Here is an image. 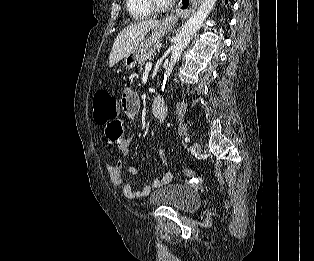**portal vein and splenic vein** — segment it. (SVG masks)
Returning <instances> with one entry per match:
<instances>
[{
  "label": "portal vein and splenic vein",
  "instance_id": "portal-vein-and-splenic-vein-1",
  "mask_svg": "<svg viewBox=\"0 0 314 261\" xmlns=\"http://www.w3.org/2000/svg\"><path fill=\"white\" fill-rule=\"evenodd\" d=\"M152 69V62H148L145 65V71H150Z\"/></svg>",
  "mask_w": 314,
  "mask_h": 261
}]
</instances>
